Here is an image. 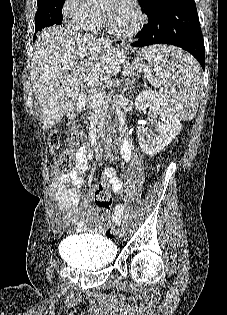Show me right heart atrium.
<instances>
[{
	"label": "right heart atrium",
	"instance_id": "d8ad5b80",
	"mask_svg": "<svg viewBox=\"0 0 227 315\" xmlns=\"http://www.w3.org/2000/svg\"><path fill=\"white\" fill-rule=\"evenodd\" d=\"M61 11L70 26L80 29H88L101 21L100 13L85 0H64Z\"/></svg>",
	"mask_w": 227,
	"mask_h": 315
}]
</instances>
